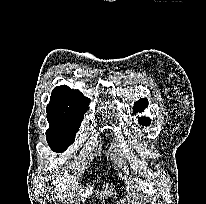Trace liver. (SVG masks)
I'll return each mask as SVG.
<instances>
[{
	"label": "liver",
	"mask_w": 206,
	"mask_h": 204,
	"mask_svg": "<svg viewBox=\"0 0 206 204\" xmlns=\"http://www.w3.org/2000/svg\"><path fill=\"white\" fill-rule=\"evenodd\" d=\"M134 181L136 182L134 187L137 188L138 190H141L143 188V185L145 184V182L143 180L138 179V178H135ZM52 184L55 186L54 192H56L60 198H62V193L68 194V196L71 198L74 197L75 192H70V189L75 190V188L78 187V184H76L75 175H70V174H66L62 177H59L57 180L53 179ZM129 184H130V182L127 181L126 182V185H127L126 190H127L128 194H129ZM103 188H105V189L97 192L99 194L100 199H102V197L104 198L106 196H111L112 192H113V189H109L108 183ZM91 190H92V186H90V185H87L85 190L80 186V192L83 191V194H81V201L84 202V199L89 196Z\"/></svg>",
	"instance_id": "6515ba94"
}]
</instances>
